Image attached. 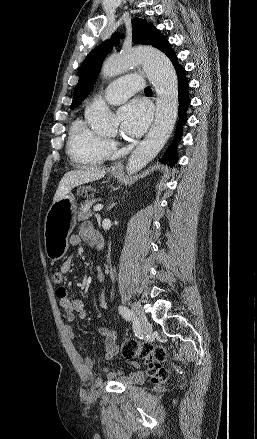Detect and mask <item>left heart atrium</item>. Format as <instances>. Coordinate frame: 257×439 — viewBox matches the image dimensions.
<instances>
[{
	"instance_id": "1",
	"label": "left heart atrium",
	"mask_w": 257,
	"mask_h": 439,
	"mask_svg": "<svg viewBox=\"0 0 257 439\" xmlns=\"http://www.w3.org/2000/svg\"><path fill=\"white\" fill-rule=\"evenodd\" d=\"M121 135L128 139L141 136L151 120L150 107L143 101L135 100L123 106L118 112Z\"/></svg>"
}]
</instances>
